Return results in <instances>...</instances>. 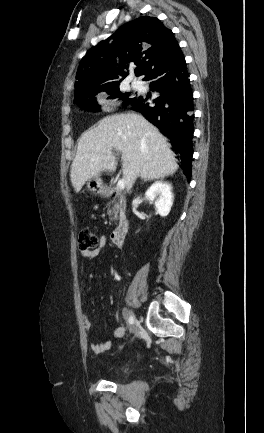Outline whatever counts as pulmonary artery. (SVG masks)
Wrapping results in <instances>:
<instances>
[{
  "mask_svg": "<svg viewBox=\"0 0 264 433\" xmlns=\"http://www.w3.org/2000/svg\"><path fill=\"white\" fill-rule=\"evenodd\" d=\"M132 86L136 89L142 88V84L139 81H133Z\"/></svg>",
  "mask_w": 264,
  "mask_h": 433,
  "instance_id": "obj_1",
  "label": "pulmonary artery"
}]
</instances>
